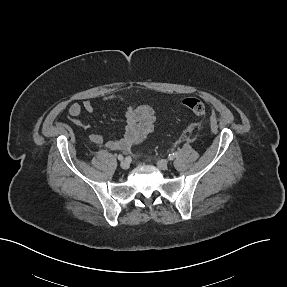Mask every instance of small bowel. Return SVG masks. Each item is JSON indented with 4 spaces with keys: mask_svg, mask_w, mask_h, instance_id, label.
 I'll return each instance as SVG.
<instances>
[{
    "mask_svg": "<svg viewBox=\"0 0 287 287\" xmlns=\"http://www.w3.org/2000/svg\"><path fill=\"white\" fill-rule=\"evenodd\" d=\"M103 101H117L123 106L122 121L125 123L123 137L119 139H106L101 134H92L89 141L94 145L105 146L113 151H128L135 144L142 141L149 135L154 127L155 113L148 105L134 107L126 104L119 95H107ZM95 106L90 100H85L82 104L72 103L68 106L70 122L79 129H85L82 122L84 113H93Z\"/></svg>",
    "mask_w": 287,
    "mask_h": 287,
    "instance_id": "c3829d8e",
    "label": "small bowel"
}]
</instances>
